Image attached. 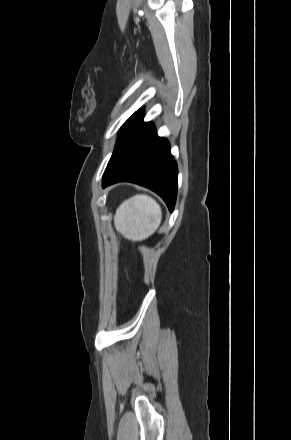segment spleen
I'll return each mask as SVG.
<instances>
[{
	"label": "spleen",
	"instance_id": "1",
	"mask_svg": "<svg viewBox=\"0 0 291 440\" xmlns=\"http://www.w3.org/2000/svg\"><path fill=\"white\" fill-rule=\"evenodd\" d=\"M162 220L160 205L150 196L139 194L123 201L114 216L116 230L131 241L150 237Z\"/></svg>",
	"mask_w": 291,
	"mask_h": 440
}]
</instances>
